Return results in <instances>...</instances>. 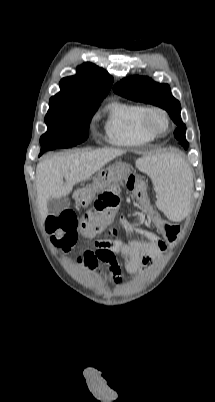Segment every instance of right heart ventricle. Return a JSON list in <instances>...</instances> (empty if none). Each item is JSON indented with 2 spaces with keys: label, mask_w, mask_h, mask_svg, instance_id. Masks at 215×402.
<instances>
[{
  "label": "right heart ventricle",
  "mask_w": 215,
  "mask_h": 402,
  "mask_svg": "<svg viewBox=\"0 0 215 402\" xmlns=\"http://www.w3.org/2000/svg\"><path fill=\"white\" fill-rule=\"evenodd\" d=\"M144 109L135 103L111 102L104 125L107 141L119 147H138L152 142L155 137L147 134L141 125Z\"/></svg>",
  "instance_id": "obj_1"
}]
</instances>
